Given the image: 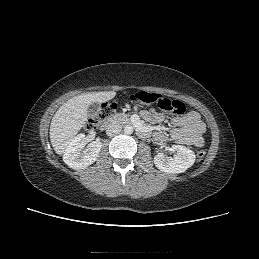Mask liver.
I'll list each match as a JSON object with an SVG mask.
<instances>
[{
    "mask_svg": "<svg viewBox=\"0 0 259 259\" xmlns=\"http://www.w3.org/2000/svg\"><path fill=\"white\" fill-rule=\"evenodd\" d=\"M115 91L92 92L69 99L56 111L50 124V141L55 152L64 154L66 147L88 118V108L94 103L113 99Z\"/></svg>",
    "mask_w": 259,
    "mask_h": 259,
    "instance_id": "6515ba94",
    "label": "liver"
}]
</instances>
